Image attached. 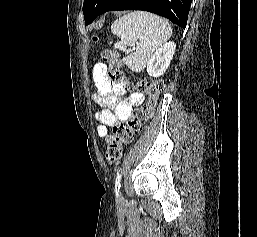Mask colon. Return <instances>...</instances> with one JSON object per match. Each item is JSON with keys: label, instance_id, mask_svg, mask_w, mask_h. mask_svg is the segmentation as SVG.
<instances>
[{"label": "colon", "instance_id": "colon-1", "mask_svg": "<svg viewBox=\"0 0 257 237\" xmlns=\"http://www.w3.org/2000/svg\"><path fill=\"white\" fill-rule=\"evenodd\" d=\"M94 40H97V37H94ZM102 57L104 61L109 62L107 69L109 80L113 84H124V73L116 54L110 50H105ZM127 88L130 89L131 85H127ZM137 88L146 93L148 99L134 111L129 119L113 125L112 133L107 137L106 148V159L110 164L122 158L123 146L130 144L153 117L158 98L165 89V83L161 80L146 78L137 84Z\"/></svg>", "mask_w": 257, "mask_h": 237}]
</instances>
